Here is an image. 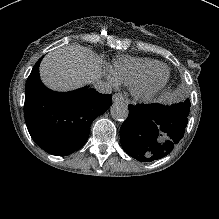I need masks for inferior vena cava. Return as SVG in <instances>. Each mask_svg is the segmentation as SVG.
Here are the masks:
<instances>
[{
    "label": "inferior vena cava",
    "instance_id": "obj_1",
    "mask_svg": "<svg viewBox=\"0 0 219 219\" xmlns=\"http://www.w3.org/2000/svg\"><path fill=\"white\" fill-rule=\"evenodd\" d=\"M93 87L97 92L102 93V94L112 93V86L109 83L102 81V80H98V79L95 80L93 82Z\"/></svg>",
    "mask_w": 219,
    "mask_h": 219
}]
</instances>
